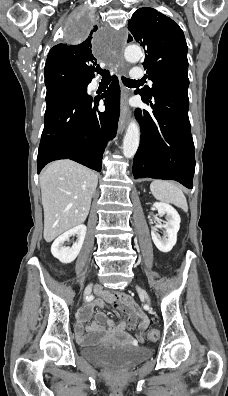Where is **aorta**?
Segmentation results:
<instances>
[{
	"instance_id": "obj_1",
	"label": "aorta",
	"mask_w": 228,
	"mask_h": 396,
	"mask_svg": "<svg viewBox=\"0 0 228 396\" xmlns=\"http://www.w3.org/2000/svg\"><path fill=\"white\" fill-rule=\"evenodd\" d=\"M124 56L129 62L139 61L142 57V50L139 46L130 45L124 50ZM140 140L139 126L135 120H132L126 130L123 140V155L131 158L135 155Z\"/></svg>"
}]
</instances>
